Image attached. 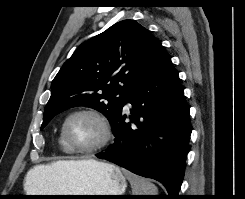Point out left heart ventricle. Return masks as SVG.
<instances>
[{
    "label": "left heart ventricle",
    "mask_w": 245,
    "mask_h": 199,
    "mask_svg": "<svg viewBox=\"0 0 245 199\" xmlns=\"http://www.w3.org/2000/svg\"><path fill=\"white\" fill-rule=\"evenodd\" d=\"M67 131L73 144L80 148L96 145L103 136L101 125L89 115L73 117L68 124Z\"/></svg>",
    "instance_id": "b2bd125f"
}]
</instances>
